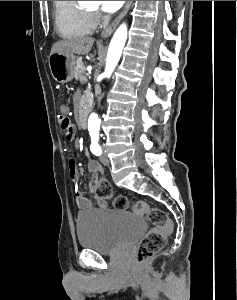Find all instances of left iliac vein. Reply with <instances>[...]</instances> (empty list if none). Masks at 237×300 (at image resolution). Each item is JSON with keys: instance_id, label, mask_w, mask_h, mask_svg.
Masks as SVG:
<instances>
[{"instance_id": "obj_1", "label": "left iliac vein", "mask_w": 237, "mask_h": 300, "mask_svg": "<svg viewBox=\"0 0 237 300\" xmlns=\"http://www.w3.org/2000/svg\"><path fill=\"white\" fill-rule=\"evenodd\" d=\"M100 161L103 165H110V160L108 159L106 154H102L100 156Z\"/></svg>"}]
</instances>
